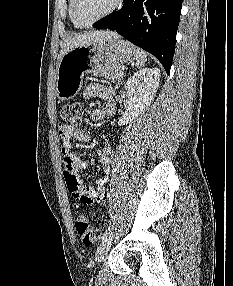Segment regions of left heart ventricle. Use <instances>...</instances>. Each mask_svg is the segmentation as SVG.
I'll return each instance as SVG.
<instances>
[{
	"instance_id": "obj_1",
	"label": "left heart ventricle",
	"mask_w": 233,
	"mask_h": 286,
	"mask_svg": "<svg viewBox=\"0 0 233 286\" xmlns=\"http://www.w3.org/2000/svg\"><path fill=\"white\" fill-rule=\"evenodd\" d=\"M116 0H79L78 15L82 21H91L108 11Z\"/></svg>"
}]
</instances>
